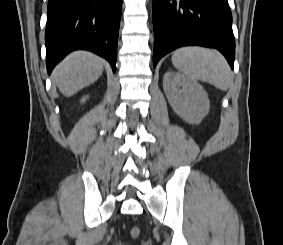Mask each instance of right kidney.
Here are the masks:
<instances>
[{
  "mask_svg": "<svg viewBox=\"0 0 283 245\" xmlns=\"http://www.w3.org/2000/svg\"><path fill=\"white\" fill-rule=\"evenodd\" d=\"M86 99H87V96H86V97H83V98L81 99V102L84 103V102L86 101Z\"/></svg>",
  "mask_w": 283,
  "mask_h": 245,
  "instance_id": "1",
  "label": "right kidney"
}]
</instances>
